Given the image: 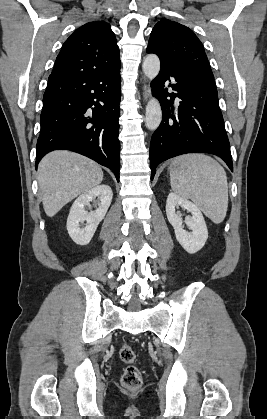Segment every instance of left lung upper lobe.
Listing matches in <instances>:
<instances>
[{
    "instance_id": "1",
    "label": "left lung upper lobe",
    "mask_w": 267,
    "mask_h": 419,
    "mask_svg": "<svg viewBox=\"0 0 267 419\" xmlns=\"http://www.w3.org/2000/svg\"><path fill=\"white\" fill-rule=\"evenodd\" d=\"M147 52L157 54L161 65L191 69L214 77L201 41L191 29L177 22L160 20L151 32Z\"/></svg>"
}]
</instances>
